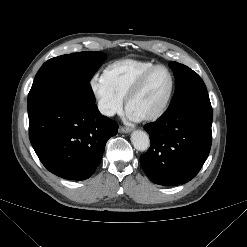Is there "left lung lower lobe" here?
I'll use <instances>...</instances> for the list:
<instances>
[{
	"label": "left lung lower lobe",
	"instance_id": "1",
	"mask_svg": "<svg viewBox=\"0 0 247 247\" xmlns=\"http://www.w3.org/2000/svg\"><path fill=\"white\" fill-rule=\"evenodd\" d=\"M212 119L210 100L202 99L170 108L146 124L151 146L140 163L148 178L165 186L193 179L210 152Z\"/></svg>",
	"mask_w": 247,
	"mask_h": 247
}]
</instances>
